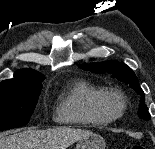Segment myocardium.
I'll return each instance as SVG.
<instances>
[{
  "instance_id": "f54148a6",
  "label": "myocardium",
  "mask_w": 155,
  "mask_h": 149,
  "mask_svg": "<svg viewBox=\"0 0 155 149\" xmlns=\"http://www.w3.org/2000/svg\"><path fill=\"white\" fill-rule=\"evenodd\" d=\"M112 101H117L119 104V110L117 112L112 111L110 108V103ZM97 106L99 111L105 117H107L111 121H115L120 119L124 115L127 108V102L124 95L121 92L115 89H108L103 90L100 93L97 101Z\"/></svg>"
}]
</instances>
